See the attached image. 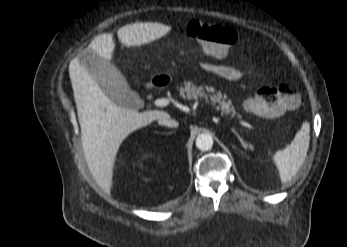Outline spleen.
Here are the masks:
<instances>
[{"instance_id":"spleen-1","label":"spleen","mask_w":347,"mask_h":247,"mask_svg":"<svg viewBox=\"0 0 347 247\" xmlns=\"http://www.w3.org/2000/svg\"><path fill=\"white\" fill-rule=\"evenodd\" d=\"M310 142V126L304 122L291 144L273 155L282 183L289 182L305 161Z\"/></svg>"}]
</instances>
